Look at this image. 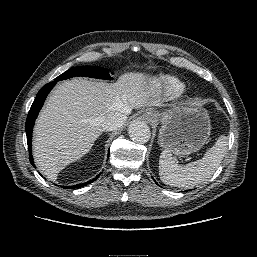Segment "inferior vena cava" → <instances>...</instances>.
I'll return each mask as SVG.
<instances>
[{
    "instance_id": "inferior-vena-cava-1",
    "label": "inferior vena cava",
    "mask_w": 257,
    "mask_h": 257,
    "mask_svg": "<svg viewBox=\"0 0 257 257\" xmlns=\"http://www.w3.org/2000/svg\"><path fill=\"white\" fill-rule=\"evenodd\" d=\"M126 118V114L122 112L110 113L101 119V127L105 131L116 130L124 124Z\"/></svg>"
}]
</instances>
